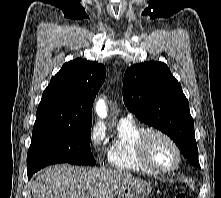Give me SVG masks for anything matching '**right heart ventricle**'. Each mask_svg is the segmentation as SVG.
<instances>
[{"mask_svg": "<svg viewBox=\"0 0 221 198\" xmlns=\"http://www.w3.org/2000/svg\"><path fill=\"white\" fill-rule=\"evenodd\" d=\"M146 129L133 120H120L117 133L112 140L107 159L111 167L137 173H153L140 162L137 142Z\"/></svg>", "mask_w": 221, "mask_h": 198, "instance_id": "e07e8e85", "label": "right heart ventricle"}]
</instances>
